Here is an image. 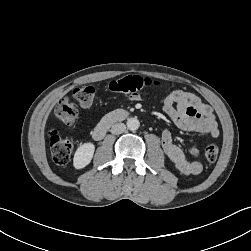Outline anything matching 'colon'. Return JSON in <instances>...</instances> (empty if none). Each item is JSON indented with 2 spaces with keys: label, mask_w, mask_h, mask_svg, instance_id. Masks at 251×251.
Here are the masks:
<instances>
[{
  "label": "colon",
  "mask_w": 251,
  "mask_h": 251,
  "mask_svg": "<svg viewBox=\"0 0 251 251\" xmlns=\"http://www.w3.org/2000/svg\"><path fill=\"white\" fill-rule=\"evenodd\" d=\"M159 86V83L136 75H129L117 80H113L108 85V90L112 93H125L137 95V93L149 88ZM96 89L93 86L76 87L72 91L73 100L81 107H89L94 102ZM68 98L60 101L56 108L57 118L66 125H72L77 118V104ZM49 144L53 160L58 165H65L69 162L74 142L69 137L61 136L56 130L49 132ZM219 154V146L215 142L207 143L205 147V157L209 162H214Z\"/></svg>",
  "instance_id": "colon-1"
}]
</instances>
